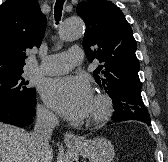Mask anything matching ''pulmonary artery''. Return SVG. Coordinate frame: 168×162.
I'll list each match as a JSON object with an SVG mask.
<instances>
[{
  "instance_id": "obj_1",
  "label": "pulmonary artery",
  "mask_w": 168,
  "mask_h": 162,
  "mask_svg": "<svg viewBox=\"0 0 168 162\" xmlns=\"http://www.w3.org/2000/svg\"><path fill=\"white\" fill-rule=\"evenodd\" d=\"M83 50L73 46L68 51L44 57L41 60L39 71L46 75L65 74L74 66L81 63Z\"/></svg>"
}]
</instances>
